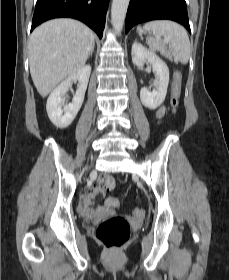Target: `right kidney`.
I'll list each match as a JSON object with an SVG mask.
<instances>
[{"label": "right kidney", "mask_w": 229, "mask_h": 280, "mask_svg": "<svg viewBox=\"0 0 229 280\" xmlns=\"http://www.w3.org/2000/svg\"><path fill=\"white\" fill-rule=\"evenodd\" d=\"M90 73L91 66L86 65L80 71L60 83V85L51 92L47 100L46 110L49 119L56 127L61 129L66 128L75 119L84 101ZM73 81H78L79 83L76 94L71 103L64 105L63 95L68 91Z\"/></svg>", "instance_id": "1"}]
</instances>
